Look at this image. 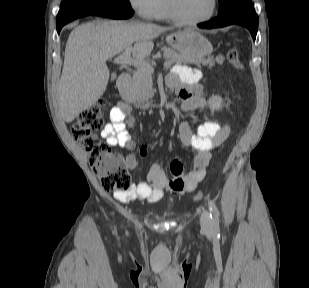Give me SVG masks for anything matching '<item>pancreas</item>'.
<instances>
[{"mask_svg":"<svg viewBox=\"0 0 309 288\" xmlns=\"http://www.w3.org/2000/svg\"><path fill=\"white\" fill-rule=\"evenodd\" d=\"M162 51L166 61L171 64H196L198 66L213 67L216 63L223 64L225 58L220 55L217 57L210 56L208 58L194 56L190 57L185 54L163 47ZM152 75L149 71L137 68L134 71L129 84V93L131 99L137 103H145L154 96Z\"/></svg>","mask_w":309,"mask_h":288,"instance_id":"1","label":"pancreas"}]
</instances>
